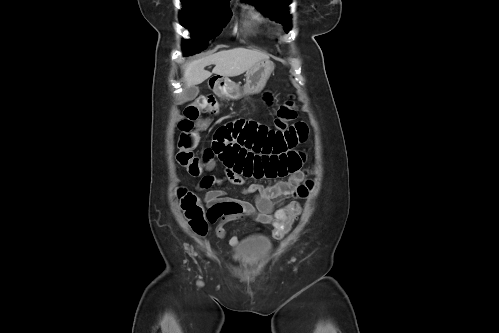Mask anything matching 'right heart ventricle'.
<instances>
[{
  "label": "right heart ventricle",
  "instance_id": "obj_1",
  "mask_svg": "<svg viewBox=\"0 0 499 333\" xmlns=\"http://www.w3.org/2000/svg\"><path fill=\"white\" fill-rule=\"evenodd\" d=\"M249 22L255 28L260 27L261 24H262L261 18L259 17L258 14H255V13H250L249 14Z\"/></svg>",
  "mask_w": 499,
  "mask_h": 333
}]
</instances>
